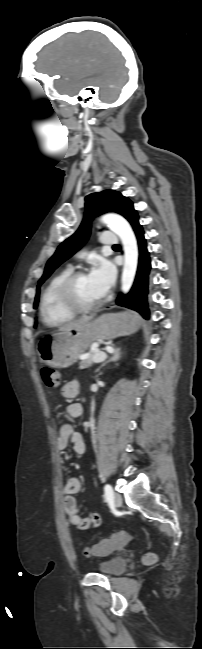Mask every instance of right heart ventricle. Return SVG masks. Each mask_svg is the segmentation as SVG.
<instances>
[{
	"label": "right heart ventricle",
	"instance_id": "e07e8e85",
	"mask_svg": "<svg viewBox=\"0 0 202 649\" xmlns=\"http://www.w3.org/2000/svg\"><path fill=\"white\" fill-rule=\"evenodd\" d=\"M71 272L68 267L56 273L42 292L40 312L43 321L49 326H59L75 317V313L64 306L59 296L60 286Z\"/></svg>",
	"mask_w": 202,
	"mask_h": 649
}]
</instances>
